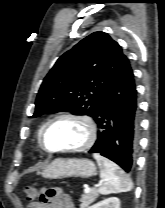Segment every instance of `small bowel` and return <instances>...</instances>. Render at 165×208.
<instances>
[{
  "instance_id": "small-bowel-1",
  "label": "small bowel",
  "mask_w": 165,
  "mask_h": 208,
  "mask_svg": "<svg viewBox=\"0 0 165 208\" xmlns=\"http://www.w3.org/2000/svg\"><path fill=\"white\" fill-rule=\"evenodd\" d=\"M27 208H76L71 197L61 188H43L39 200L28 204Z\"/></svg>"
}]
</instances>
